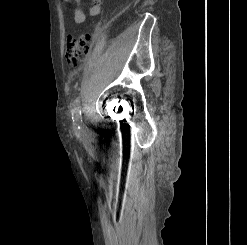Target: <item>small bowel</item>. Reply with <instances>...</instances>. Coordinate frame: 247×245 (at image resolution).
<instances>
[{
  "mask_svg": "<svg viewBox=\"0 0 247 245\" xmlns=\"http://www.w3.org/2000/svg\"><path fill=\"white\" fill-rule=\"evenodd\" d=\"M66 2H73V19L76 24H83L88 17H95L101 12L102 0H90V8L87 12L83 10L80 5V0H65Z\"/></svg>",
  "mask_w": 247,
  "mask_h": 245,
  "instance_id": "small-bowel-1",
  "label": "small bowel"
}]
</instances>
